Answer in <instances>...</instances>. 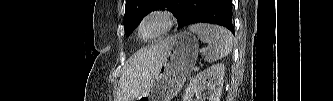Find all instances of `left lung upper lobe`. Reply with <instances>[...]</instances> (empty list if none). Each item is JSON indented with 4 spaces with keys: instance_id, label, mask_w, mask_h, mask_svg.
Segmentation results:
<instances>
[{
    "instance_id": "5c2ea615",
    "label": "left lung upper lobe",
    "mask_w": 333,
    "mask_h": 101,
    "mask_svg": "<svg viewBox=\"0 0 333 101\" xmlns=\"http://www.w3.org/2000/svg\"><path fill=\"white\" fill-rule=\"evenodd\" d=\"M160 7H167L179 21L182 15V7L181 4H178V0H126L125 33L129 35L146 14Z\"/></svg>"
}]
</instances>
